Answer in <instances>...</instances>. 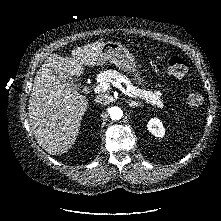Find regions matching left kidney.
I'll use <instances>...</instances> for the list:
<instances>
[{
	"mask_svg": "<svg viewBox=\"0 0 221 221\" xmlns=\"http://www.w3.org/2000/svg\"><path fill=\"white\" fill-rule=\"evenodd\" d=\"M148 130L156 137H163L165 134V128L162 122L158 118H152L148 122Z\"/></svg>",
	"mask_w": 221,
	"mask_h": 221,
	"instance_id": "1",
	"label": "left kidney"
}]
</instances>
